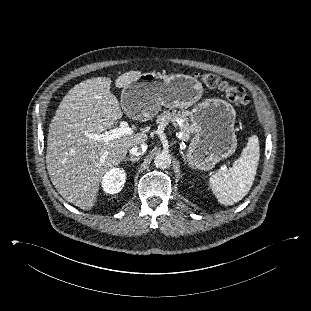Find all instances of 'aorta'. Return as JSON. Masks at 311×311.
Here are the masks:
<instances>
[{
    "instance_id": "1",
    "label": "aorta",
    "mask_w": 311,
    "mask_h": 311,
    "mask_svg": "<svg viewBox=\"0 0 311 311\" xmlns=\"http://www.w3.org/2000/svg\"><path fill=\"white\" fill-rule=\"evenodd\" d=\"M154 163L157 168L166 169L171 165V156L167 152L158 153L154 158Z\"/></svg>"
}]
</instances>
